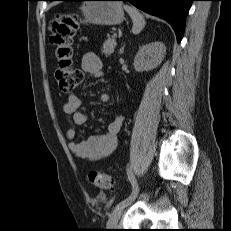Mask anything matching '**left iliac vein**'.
<instances>
[{"instance_id":"4c4485c4","label":"left iliac vein","mask_w":231,"mask_h":231,"mask_svg":"<svg viewBox=\"0 0 231 231\" xmlns=\"http://www.w3.org/2000/svg\"><path fill=\"white\" fill-rule=\"evenodd\" d=\"M124 207H118L115 208L114 211L112 212V214L110 215V218L107 222V227L108 228H115L118 224V221L121 217L122 211H123Z\"/></svg>"}]
</instances>
